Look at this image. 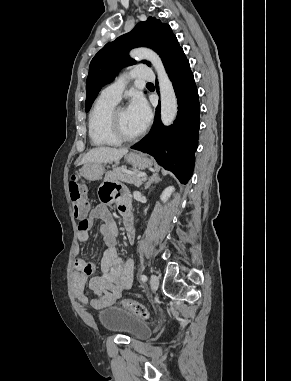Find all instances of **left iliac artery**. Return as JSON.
Segmentation results:
<instances>
[{"label": "left iliac artery", "instance_id": "obj_1", "mask_svg": "<svg viewBox=\"0 0 291 381\" xmlns=\"http://www.w3.org/2000/svg\"><path fill=\"white\" fill-rule=\"evenodd\" d=\"M147 276L145 275V274H143V275H141V280L143 281V282H146L147 281Z\"/></svg>", "mask_w": 291, "mask_h": 381}]
</instances>
